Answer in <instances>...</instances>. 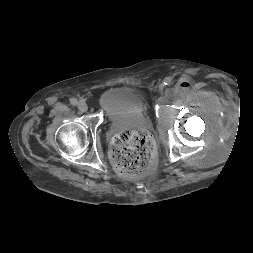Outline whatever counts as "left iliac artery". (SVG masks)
<instances>
[{
  "label": "left iliac artery",
  "mask_w": 253,
  "mask_h": 253,
  "mask_svg": "<svg viewBox=\"0 0 253 253\" xmlns=\"http://www.w3.org/2000/svg\"><path fill=\"white\" fill-rule=\"evenodd\" d=\"M172 82V79L170 77H166L163 81L164 85H170Z\"/></svg>",
  "instance_id": "44dca946"
}]
</instances>
